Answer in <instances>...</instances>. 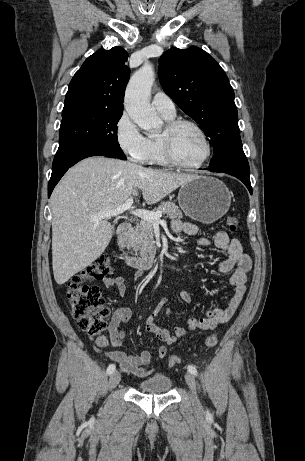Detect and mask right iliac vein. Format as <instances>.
<instances>
[{
    "instance_id": "1",
    "label": "right iliac vein",
    "mask_w": 305,
    "mask_h": 461,
    "mask_svg": "<svg viewBox=\"0 0 305 461\" xmlns=\"http://www.w3.org/2000/svg\"><path fill=\"white\" fill-rule=\"evenodd\" d=\"M121 380V375L118 371H114L109 378V388L112 389L116 387Z\"/></svg>"
}]
</instances>
